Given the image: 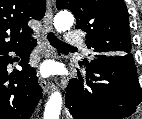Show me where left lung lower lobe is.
I'll return each mask as SVG.
<instances>
[{
  "mask_svg": "<svg viewBox=\"0 0 142 119\" xmlns=\"http://www.w3.org/2000/svg\"><path fill=\"white\" fill-rule=\"evenodd\" d=\"M86 81L72 79L65 106L74 119H123L142 102L131 55L95 57L86 65Z\"/></svg>",
  "mask_w": 142,
  "mask_h": 119,
  "instance_id": "left-lung-lower-lobe-1",
  "label": "left lung lower lobe"
}]
</instances>
